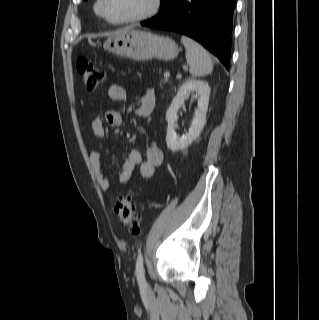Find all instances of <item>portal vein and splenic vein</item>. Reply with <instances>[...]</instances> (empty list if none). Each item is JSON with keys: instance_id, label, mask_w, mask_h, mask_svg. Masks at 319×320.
Segmentation results:
<instances>
[{"instance_id": "portal-vein-and-splenic-vein-1", "label": "portal vein and splenic vein", "mask_w": 319, "mask_h": 320, "mask_svg": "<svg viewBox=\"0 0 319 320\" xmlns=\"http://www.w3.org/2000/svg\"><path fill=\"white\" fill-rule=\"evenodd\" d=\"M164 76H165L166 78H169V77H170V73H169V72H165Z\"/></svg>"}]
</instances>
